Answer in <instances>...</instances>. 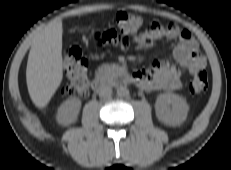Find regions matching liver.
Masks as SVG:
<instances>
[{
    "label": "liver",
    "instance_id": "6515ba94",
    "mask_svg": "<svg viewBox=\"0 0 231 170\" xmlns=\"http://www.w3.org/2000/svg\"><path fill=\"white\" fill-rule=\"evenodd\" d=\"M62 78V21L54 20L37 35L28 56L26 82L36 107L49 103Z\"/></svg>",
    "mask_w": 231,
    "mask_h": 170
}]
</instances>
